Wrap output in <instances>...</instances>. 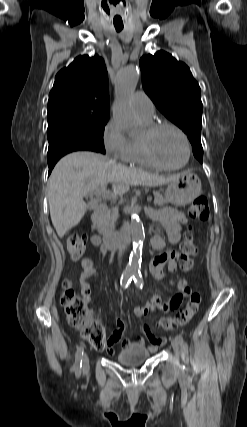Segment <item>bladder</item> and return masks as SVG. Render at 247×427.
I'll return each mask as SVG.
<instances>
[{"instance_id":"obj_1","label":"bladder","mask_w":247,"mask_h":427,"mask_svg":"<svg viewBox=\"0 0 247 427\" xmlns=\"http://www.w3.org/2000/svg\"><path fill=\"white\" fill-rule=\"evenodd\" d=\"M150 357V352L143 346H130L118 353L117 361L124 366L140 364Z\"/></svg>"}]
</instances>
